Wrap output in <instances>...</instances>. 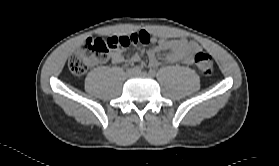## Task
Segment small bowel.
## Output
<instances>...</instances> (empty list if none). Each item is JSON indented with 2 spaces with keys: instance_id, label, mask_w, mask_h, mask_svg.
<instances>
[{
  "instance_id": "small-bowel-1",
  "label": "small bowel",
  "mask_w": 279,
  "mask_h": 166,
  "mask_svg": "<svg viewBox=\"0 0 279 166\" xmlns=\"http://www.w3.org/2000/svg\"><path fill=\"white\" fill-rule=\"evenodd\" d=\"M144 35L147 38L146 43L155 44V47L150 49L147 53L148 66L155 68L159 65L157 54L162 51H167L166 59L170 63L183 62L184 64L191 65L193 63L194 54L200 49L199 45L187 39H157L151 36L147 31L141 30L139 32L132 33L129 37L136 38L139 43V38ZM110 59L114 64H120L124 61L121 48L113 49L110 53ZM141 61L139 54H134L130 58L131 63H138Z\"/></svg>"
}]
</instances>
